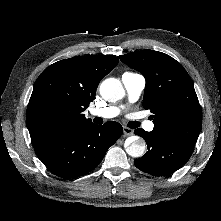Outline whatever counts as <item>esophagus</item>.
Returning a JSON list of instances; mask_svg holds the SVG:
<instances>
[{"label":"esophagus","instance_id":"esophagus-1","mask_svg":"<svg viewBox=\"0 0 221 221\" xmlns=\"http://www.w3.org/2000/svg\"><path fill=\"white\" fill-rule=\"evenodd\" d=\"M123 133H124L125 136H129V135L133 134V130L128 128V127H126V126H124L123 127Z\"/></svg>","mask_w":221,"mask_h":221}]
</instances>
